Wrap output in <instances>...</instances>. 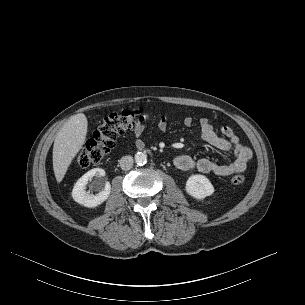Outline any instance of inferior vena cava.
<instances>
[{"mask_svg":"<svg viewBox=\"0 0 305 305\" xmlns=\"http://www.w3.org/2000/svg\"><path fill=\"white\" fill-rule=\"evenodd\" d=\"M134 160L132 156H123L120 161V167L122 170H130L133 166Z\"/></svg>","mask_w":305,"mask_h":305,"instance_id":"obj_1","label":"inferior vena cava"}]
</instances>
